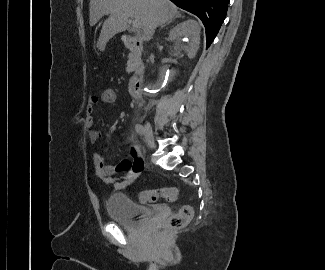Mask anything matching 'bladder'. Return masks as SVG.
<instances>
[{
	"mask_svg": "<svg viewBox=\"0 0 325 270\" xmlns=\"http://www.w3.org/2000/svg\"><path fill=\"white\" fill-rule=\"evenodd\" d=\"M109 218L126 227L135 228L151 215V211L131 200L124 193L112 194L106 202Z\"/></svg>",
	"mask_w": 325,
	"mask_h": 270,
	"instance_id": "31cf9c89",
	"label": "bladder"
}]
</instances>
